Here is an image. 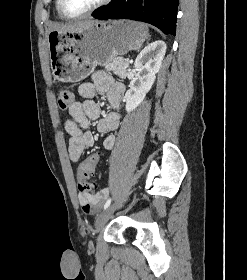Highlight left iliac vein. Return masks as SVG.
I'll list each match as a JSON object with an SVG mask.
<instances>
[{
  "instance_id": "left-iliac-vein-1",
  "label": "left iliac vein",
  "mask_w": 247,
  "mask_h": 280,
  "mask_svg": "<svg viewBox=\"0 0 247 280\" xmlns=\"http://www.w3.org/2000/svg\"><path fill=\"white\" fill-rule=\"evenodd\" d=\"M115 204L110 205L108 208H106L102 214L97 218L96 220V231H100L104 225L107 223L108 219L110 218V216L112 215V213L115 210Z\"/></svg>"
}]
</instances>
